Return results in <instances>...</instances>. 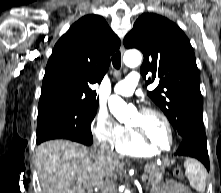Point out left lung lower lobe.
<instances>
[{
    "label": "left lung lower lobe",
    "instance_id": "0a47b994",
    "mask_svg": "<svg viewBox=\"0 0 221 193\" xmlns=\"http://www.w3.org/2000/svg\"><path fill=\"white\" fill-rule=\"evenodd\" d=\"M176 155L193 157L202 162L207 170L210 168L207 141L204 128H195L182 137Z\"/></svg>",
    "mask_w": 221,
    "mask_h": 193
}]
</instances>
